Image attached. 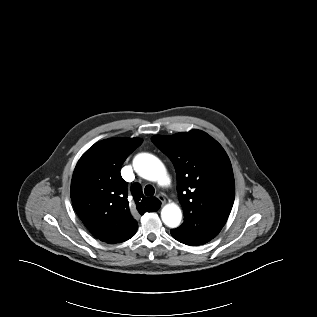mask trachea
Segmentation results:
<instances>
[{
	"label": "trachea",
	"mask_w": 317,
	"mask_h": 317,
	"mask_svg": "<svg viewBox=\"0 0 317 317\" xmlns=\"http://www.w3.org/2000/svg\"><path fill=\"white\" fill-rule=\"evenodd\" d=\"M144 193L146 196H153L155 193V189L152 185H147L144 189Z\"/></svg>",
	"instance_id": "trachea-1"
}]
</instances>
